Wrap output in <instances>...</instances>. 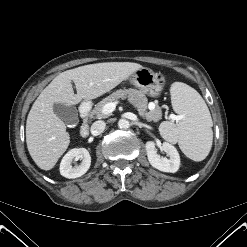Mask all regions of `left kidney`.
<instances>
[{
  "mask_svg": "<svg viewBox=\"0 0 247 247\" xmlns=\"http://www.w3.org/2000/svg\"><path fill=\"white\" fill-rule=\"evenodd\" d=\"M146 152L149 163L156 169L163 172L175 173L180 166V156L177 149L168 142H164L162 150L169 156V158L161 157L157 153L155 143L153 141L146 142Z\"/></svg>",
  "mask_w": 247,
  "mask_h": 247,
  "instance_id": "5707ae66",
  "label": "left kidney"
}]
</instances>
